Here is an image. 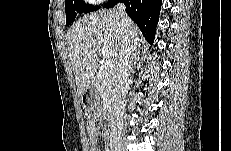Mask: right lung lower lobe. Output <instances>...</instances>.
Masks as SVG:
<instances>
[{"label": "right lung lower lobe", "instance_id": "98d812e1", "mask_svg": "<svg viewBox=\"0 0 231 151\" xmlns=\"http://www.w3.org/2000/svg\"><path fill=\"white\" fill-rule=\"evenodd\" d=\"M118 2L126 6V12L138 25L149 43L154 42V35L161 9V0H109L103 7H114Z\"/></svg>", "mask_w": 231, "mask_h": 151}]
</instances>
